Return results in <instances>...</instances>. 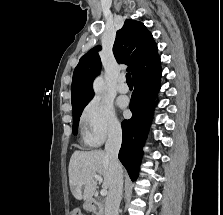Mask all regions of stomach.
<instances>
[{
  "mask_svg": "<svg viewBox=\"0 0 223 215\" xmlns=\"http://www.w3.org/2000/svg\"><path fill=\"white\" fill-rule=\"evenodd\" d=\"M83 207H84V209H90V207H91V203H90V201H88V202L85 201Z\"/></svg>",
  "mask_w": 223,
  "mask_h": 215,
  "instance_id": "stomach-1",
  "label": "stomach"
}]
</instances>
